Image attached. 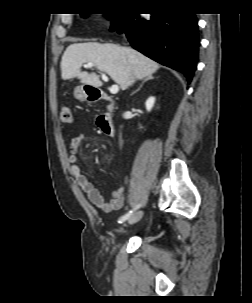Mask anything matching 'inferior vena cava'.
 <instances>
[{"label": "inferior vena cava", "mask_w": 252, "mask_h": 303, "mask_svg": "<svg viewBox=\"0 0 252 303\" xmlns=\"http://www.w3.org/2000/svg\"><path fill=\"white\" fill-rule=\"evenodd\" d=\"M133 83V78L130 80L129 85H131Z\"/></svg>", "instance_id": "inferior-vena-cava-1"}]
</instances>
